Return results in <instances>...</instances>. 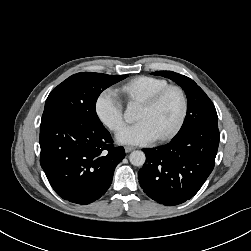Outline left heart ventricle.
<instances>
[{"label": "left heart ventricle", "instance_id": "1", "mask_svg": "<svg viewBox=\"0 0 251 251\" xmlns=\"http://www.w3.org/2000/svg\"><path fill=\"white\" fill-rule=\"evenodd\" d=\"M180 111V99L175 92H169L153 108L140 106L136 120H147L157 137L165 133L176 121Z\"/></svg>", "mask_w": 251, "mask_h": 251}]
</instances>
